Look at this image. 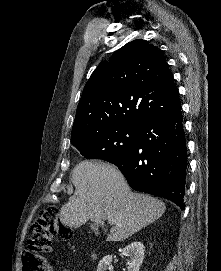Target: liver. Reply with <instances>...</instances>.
<instances>
[{
	"label": "liver",
	"instance_id": "liver-1",
	"mask_svg": "<svg viewBox=\"0 0 221 271\" xmlns=\"http://www.w3.org/2000/svg\"><path fill=\"white\" fill-rule=\"evenodd\" d=\"M73 195L61 207L60 221L69 227H80L88 219L101 225L105 219L112 225L106 241H123L142 227L158 219L166 209L164 201L133 193L116 165L103 161H80L72 171Z\"/></svg>",
	"mask_w": 221,
	"mask_h": 271
}]
</instances>
